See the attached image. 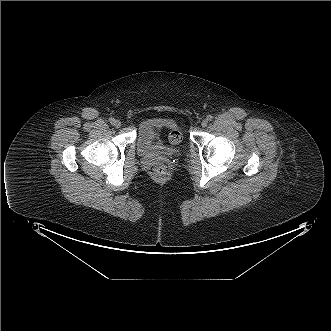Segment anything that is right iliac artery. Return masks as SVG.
Returning <instances> with one entry per match:
<instances>
[{
    "mask_svg": "<svg viewBox=\"0 0 331 331\" xmlns=\"http://www.w3.org/2000/svg\"><path fill=\"white\" fill-rule=\"evenodd\" d=\"M114 121H115V119H114V118H112V117L109 119V122H110L111 124H113V123H114Z\"/></svg>",
    "mask_w": 331,
    "mask_h": 331,
    "instance_id": "1",
    "label": "right iliac artery"
}]
</instances>
